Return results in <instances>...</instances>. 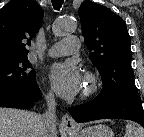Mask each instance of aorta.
I'll return each instance as SVG.
<instances>
[{
    "label": "aorta",
    "mask_w": 144,
    "mask_h": 137,
    "mask_svg": "<svg viewBox=\"0 0 144 137\" xmlns=\"http://www.w3.org/2000/svg\"><path fill=\"white\" fill-rule=\"evenodd\" d=\"M75 29V22L70 18L57 19L52 27L55 36H62L66 33L72 32Z\"/></svg>",
    "instance_id": "762f6f07"
}]
</instances>
